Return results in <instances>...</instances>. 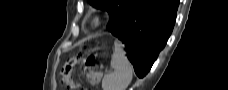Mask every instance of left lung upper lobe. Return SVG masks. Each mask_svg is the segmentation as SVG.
<instances>
[{"mask_svg":"<svg viewBox=\"0 0 228 90\" xmlns=\"http://www.w3.org/2000/svg\"><path fill=\"white\" fill-rule=\"evenodd\" d=\"M94 7L105 8L110 14L109 25L127 8L130 0H88Z\"/></svg>","mask_w":228,"mask_h":90,"instance_id":"1","label":"left lung upper lobe"}]
</instances>
